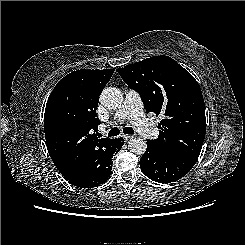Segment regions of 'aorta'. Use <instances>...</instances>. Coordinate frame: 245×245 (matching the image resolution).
Instances as JSON below:
<instances>
[{
    "label": "aorta",
    "mask_w": 245,
    "mask_h": 245,
    "mask_svg": "<svg viewBox=\"0 0 245 245\" xmlns=\"http://www.w3.org/2000/svg\"><path fill=\"white\" fill-rule=\"evenodd\" d=\"M100 102L108 109H118L123 102L121 91L115 87L105 88L100 95ZM147 148L146 141L139 137H135L128 142L130 152L141 155Z\"/></svg>",
    "instance_id": "obj_1"
}]
</instances>
